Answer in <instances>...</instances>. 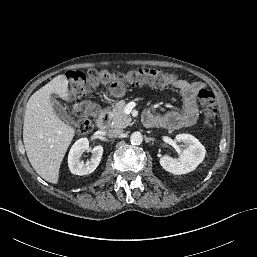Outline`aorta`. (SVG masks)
Listing matches in <instances>:
<instances>
[{"label": "aorta", "mask_w": 257, "mask_h": 257, "mask_svg": "<svg viewBox=\"0 0 257 257\" xmlns=\"http://www.w3.org/2000/svg\"><path fill=\"white\" fill-rule=\"evenodd\" d=\"M143 141V135L140 132H133L130 136V142L134 145H140Z\"/></svg>", "instance_id": "obj_1"}]
</instances>
